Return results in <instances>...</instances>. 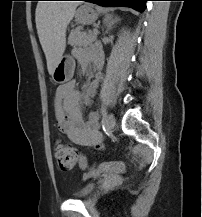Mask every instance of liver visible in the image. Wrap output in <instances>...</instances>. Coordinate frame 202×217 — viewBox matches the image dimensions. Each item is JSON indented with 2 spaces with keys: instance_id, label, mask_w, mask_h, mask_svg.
Listing matches in <instances>:
<instances>
[{
  "instance_id": "1",
  "label": "liver",
  "mask_w": 202,
  "mask_h": 217,
  "mask_svg": "<svg viewBox=\"0 0 202 217\" xmlns=\"http://www.w3.org/2000/svg\"><path fill=\"white\" fill-rule=\"evenodd\" d=\"M78 3L40 2L36 7L35 20L40 44L52 75L66 48V29L72 20Z\"/></svg>"
}]
</instances>
